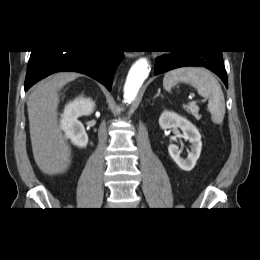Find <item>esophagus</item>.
<instances>
[{"label":"esophagus","mask_w":260,"mask_h":260,"mask_svg":"<svg viewBox=\"0 0 260 260\" xmlns=\"http://www.w3.org/2000/svg\"><path fill=\"white\" fill-rule=\"evenodd\" d=\"M127 56H129V57H136L137 54L136 53H128Z\"/></svg>","instance_id":"1"}]
</instances>
